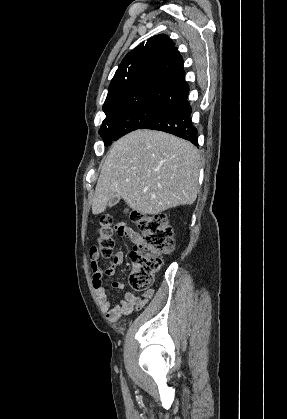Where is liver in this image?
<instances>
[{"instance_id": "1", "label": "liver", "mask_w": 287, "mask_h": 419, "mask_svg": "<svg viewBox=\"0 0 287 419\" xmlns=\"http://www.w3.org/2000/svg\"><path fill=\"white\" fill-rule=\"evenodd\" d=\"M197 148L171 134L136 130L116 141L101 163L92 200L94 215L115 195L141 214H160L197 198Z\"/></svg>"}]
</instances>
